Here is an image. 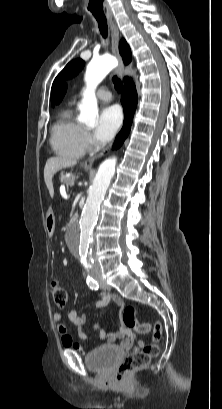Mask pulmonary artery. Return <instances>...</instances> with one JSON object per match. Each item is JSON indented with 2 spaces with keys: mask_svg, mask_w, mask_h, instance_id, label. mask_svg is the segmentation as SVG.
<instances>
[{
  "mask_svg": "<svg viewBox=\"0 0 222 409\" xmlns=\"http://www.w3.org/2000/svg\"><path fill=\"white\" fill-rule=\"evenodd\" d=\"M97 97L101 101H110L111 100V92L102 87L97 91Z\"/></svg>",
  "mask_w": 222,
  "mask_h": 409,
  "instance_id": "pulmonary-artery-1",
  "label": "pulmonary artery"
}]
</instances>
